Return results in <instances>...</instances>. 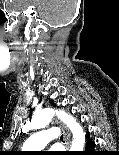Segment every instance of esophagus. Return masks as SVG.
I'll return each instance as SVG.
<instances>
[{
  "label": "esophagus",
  "instance_id": "34e87169",
  "mask_svg": "<svg viewBox=\"0 0 119 155\" xmlns=\"http://www.w3.org/2000/svg\"><path fill=\"white\" fill-rule=\"evenodd\" d=\"M56 124H58L62 130H63V133H64V141H65V147H66V150L69 151V148H70V132L69 130L64 126L62 125L59 121L55 120Z\"/></svg>",
  "mask_w": 119,
  "mask_h": 155
}]
</instances>
